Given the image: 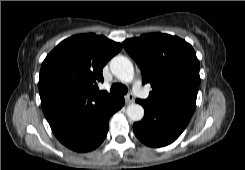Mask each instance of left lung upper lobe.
I'll use <instances>...</instances> for the list:
<instances>
[{"label": "left lung upper lobe", "mask_w": 245, "mask_h": 170, "mask_svg": "<svg viewBox=\"0 0 245 170\" xmlns=\"http://www.w3.org/2000/svg\"><path fill=\"white\" fill-rule=\"evenodd\" d=\"M152 91L143 102L191 118L200 84L199 61L190 44L167 34H144L123 42Z\"/></svg>", "instance_id": "obj_1"}]
</instances>
